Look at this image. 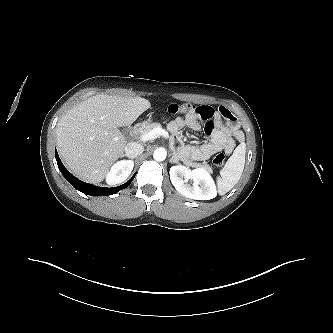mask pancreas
I'll return each mask as SVG.
<instances>
[{"label":"pancreas","mask_w":333,"mask_h":333,"mask_svg":"<svg viewBox=\"0 0 333 333\" xmlns=\"http://www.w3.org/2000/svg\"><path fill=\"white\" fill-rule=\"evenodd\" d=\"M161 128V124L155 122V123H150L147 124L143 127H141L140 131L142 135H145L147 133H149L151 130H153L154 128ZM171 141H173V139H171ZM187 166H191V167H203L206 168L208 170H211V167L208 164H200V163H191V162H186L185 163Z\"/></svg>","instance_id":"obj_1"}]
</instances>
